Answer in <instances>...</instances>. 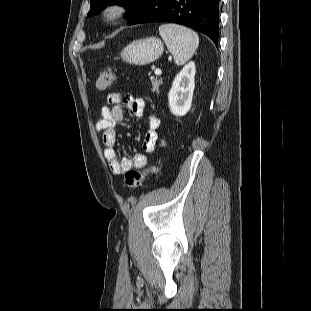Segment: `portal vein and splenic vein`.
Masks as SVG:
<instances>
[{
  "instance_id": "portal-vein-and-splenic-vein-1",
  "label": "portal vein and splenic vein",
  "mask_w": 311,
  "mask_h": 311,
  "mask_svg": "<svg viewBox=\"0 0 311 311\" xmlns=\"http://www.w3.org/2000/svg\"><path fill=\"white\" fill-rule=\"evenodd\" d=\"M161 73H162L161 69H156L155 70V75H161Z\"/></svg>"
}]
</instances>
